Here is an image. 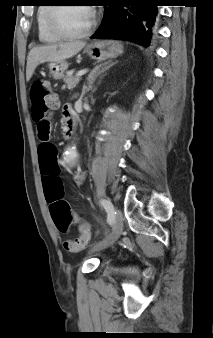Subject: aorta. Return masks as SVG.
Instances as JSON below:
<instances>
[{
	"instance_id": "obj_1",
	"label": "aorta",
	"mask_w": 213,
	"mask_h": 338,
	"mask_svg": "<svg viewBox=\"0 0 213 338\" xmlns=\"http://www.w3.org/2000/svg\"><path fill=\"white\" fill-rule=\"evenodd\" d=\"M76 159H77V152L75 150V148L73 147H70L68 150H67V154L65 155V163L69 166V167H72L75 165L76 163Z\"/></svg>"
}]
</instances>
